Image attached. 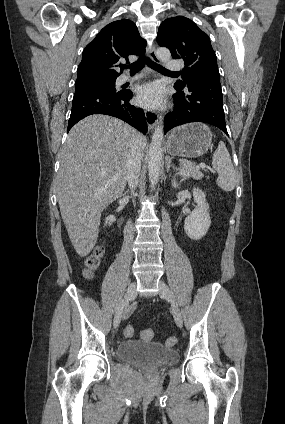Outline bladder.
<instances>
[{"label":"bladder","instance_id":"bladder-1","mask_svg":"<svg viewBox=\"0 0 285 424\" xmlns=\"http://www.w3.org/2000/svg\"><path fill=\"white\" fill-rule=\"evenodd\" d=\"M121 360L138 366L157 367L170 365L178 360V353L159 343L136 340L122 341L118 346Z\"/></svg>","mask_w":285,"mask_h":424}]
</instances>
